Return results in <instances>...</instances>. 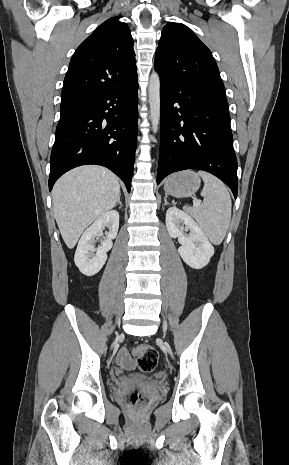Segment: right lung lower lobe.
I'll return each instance as SVG.
<instances>
[{
  "instance_id": "1",
  "label": "right lung lower lobe",
  "mask_w": 289,
  "mask_h": 465,
  "mask_svg": "<svg viewBox=\"0 0 289 465\" xmlns=\"http://www.w3.org/2000/svg\"><path fill=\"white\" fill-rule=\"evenodd\" d=\"M137 76L126 85L82 102L60 121L50 158L49 191L68 170L86 164L109 168L131 188L137 143Z\"/></svg>"
}]
</instances>
